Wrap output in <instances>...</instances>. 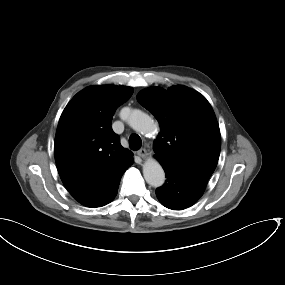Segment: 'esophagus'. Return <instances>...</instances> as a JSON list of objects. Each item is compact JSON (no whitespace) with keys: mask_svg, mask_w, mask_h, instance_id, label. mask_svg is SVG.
<instances>
[{"mask_svg":"<svg viewBox=\"0 0 285 285\" xmlns=\"http://www.w3.org/2000/svg\"><path fill=\"white\" fill-rule=\"evenodd\" d=\"M137 155L141 158H145L147 156V151L146 149L142 148L137 151Z\"/></svg>","mask_w":285,"mask_h":285,"instance_id":"obj_1","label":"esophagus"}]
</instances>
